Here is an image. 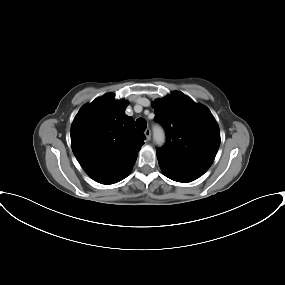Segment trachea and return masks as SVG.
I'll list each match as a JSON object with an SVG mask.
<instances>
[{
	"label": "trachea",
	"mask_w": 285,
	"mask_h": 285,
	"mask_svg": "<svg viewBox=\"0 0 285 285\" xmlns=\"http://www.w3.org/2000/svg\"><path fill=\"white\" fill-rule=\"evenodd\" d=\"M135 125L139 131L143 132L147 127V122L144 118H138Z\"/></svg>",
	"instance_id": "obj_1"
}]
</instances>
